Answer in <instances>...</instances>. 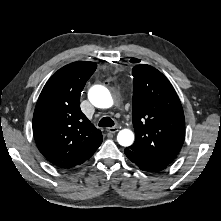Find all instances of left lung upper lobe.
<instances>
[{
  "mask_svg": "<svg viewBox=\"0 0 221 221\" xmlns=\"http://www.w3.org/2000/svg\"><path fill=\"white\" fill-rule=\"evenodd\" d=\"M135 142L128 147L169 165L185 138L183 108L169 80L149 65L132 69Z\"/></svg>",
  "mask_w": 221,
  "mask_h": 221,
  "instance_id": "left-lung-upper-lobe-1",
  "label": "left lung upper lobe"
}]
</instances>
